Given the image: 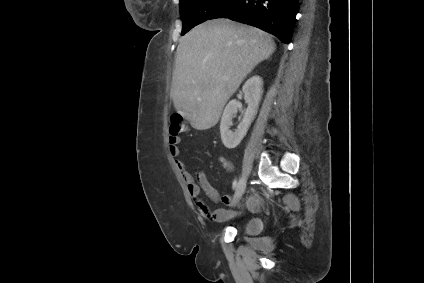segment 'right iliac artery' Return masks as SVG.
<instances>
[{"instance_id": "right-iliac-artery-1", "label": "right iliac artery", "mask_w": 424, "mask_h": 283, "mask_svg": "<svg viewBox=\"0 0 424 283\" xmlns=\"http://www.w3.org/2000/svg\"><path fill=\"white\" fill-rule=\"evenodd\" d=\"M236 186H237V180H234V182H233V189H235Z\"/></svg>"}]
</instances>
